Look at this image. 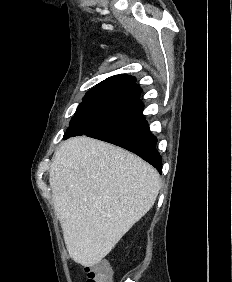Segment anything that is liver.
<instances>
[{"label": "liver", "mask_w": 232, "mask_h": 282, "mask_svg": "<svg viewBox=\"0 0 232 282\" xmlns=\"http://www.w3.org/2000/svg\"><path fill=\"white\" fill-rule=\"evenodd\" d=\"M49 183L69 257L83 266L101 261L152 208L160 189L150 164L85 136L61 143Z\"/></svg>", "instance_id": "6515ba94"}]
</instances>
